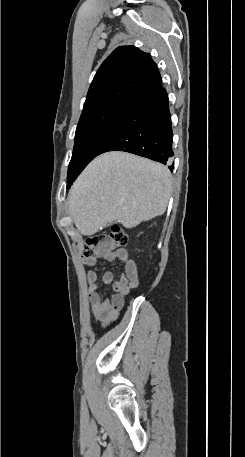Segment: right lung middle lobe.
<instances>
[{
    "instance_id": "dd1d6c3e",
    "label": "right lung middle lobe",
    "mask_w": 245,
    "mask_h": 457,
    "mask_svg": "<svg viewBox=\"0 0 245 457\" xmlns=\"http://www.w3.org/2000/svg\"><path fill=\"white\" fill-rule=\"evenodd\" d=\"M128 111L129 109L112 107L81 115L68 168L67 188H70L86 165L99 155L100 150L119 127Z\"/></svg>"
}]
</instances>
